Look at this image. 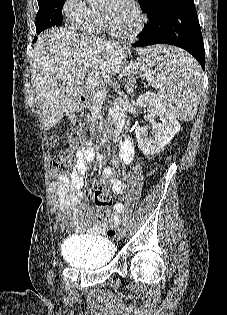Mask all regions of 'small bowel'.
Returning <instances> with one entry per match:
<instances>
[{
	"instance_id": "small-bowel-1",
	"label": "small bowel",
	"mask_w": 227,
	"mask_h": 315,
	"mask_svg": "<svg viewBox=\"0 0 227 315\" xmlns=\"http://www.w3.org/2000/svg\"><path fill=\"white\" fill-rule=\"evenodd\" d=\"M122 160L129 163L132 160V151L128 147H124L121 151ZM95 158V149L93 139L80 147L75 154V165L69 174L62 175L53 184L52 188L57 196V206L60 214L56 220L58 229L64 226V221L69 220L73 225L76 233L83 234L85 232L97 234L104 233L107 226L111 224H121L125 214V208L121 204L114 205L113 213L110 222L98 220L93 217V223L87 225L84 221V212L92 215L88 206L83 201H87L88 195L83 192L84 175L88 165ZM116 162L113 161V166L107 167L102 175L101 185L111 187L116 194H123L124 186L118 178L116 172Z\"/></svg>"
}]
</instances>
